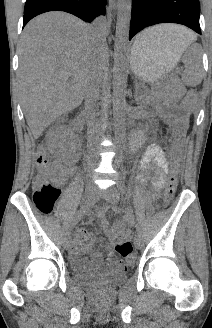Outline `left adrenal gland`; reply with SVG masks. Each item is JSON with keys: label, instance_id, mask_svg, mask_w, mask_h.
I'll return each mask as SVG.
<instances>
[{"label": "left adrenal gland", "instance_id": "a2214340", "mask_svg": "<svg viewBox=\"0 0 212 328\" xmlns=\"http://www.w3.org/2000/svg\"><path fill=\"white\" fill-rule=\"evenodd\" d=\"M139 90H138V85H137V82H136V86H135V95H134V98H135V101L138 103L139 102Z\"/></svg>", "mask_w": 212, "mask_h": 328}]
</instances>
